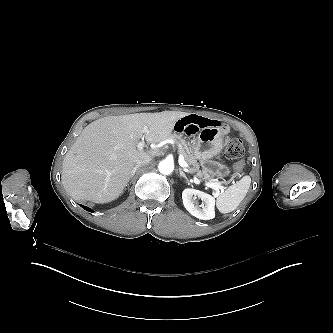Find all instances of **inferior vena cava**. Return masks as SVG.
Wrapping results in <instances>:
<instances>
[{
	"label": "inferior vena cava",
	"instance_id": "602c4592",
	"mask_svg": "<svg viewBox=\"0 0 333 333\" xmlns=\"http://www.w3.org/2000/svg\"><path fill=\"white\" fill-rule=\"evenodd\" d=\"M152 158L147 156L136 162V166L148 165L151 162Z\"/></svg>",
	"mask_w": 333,
	"mask_h": 333
}]
</instances>
